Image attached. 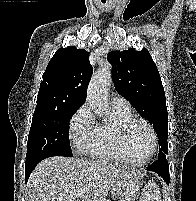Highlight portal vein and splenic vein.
<instances>
[{"instance_id": "portal-vein-and-splenic-vein-1", "label": "portal vein and splenic vein", "mask_w": 196, "mask_h": 201, "mask_svg": "<svg viewBox=\"0 0 196 201\" xmlns=\"http://www.w3.org/2000/svg\"><path fill=\"white\" fill-rule=\"evenodd\" d=\"M83 194V192L82 191H79V196H81Z\"/></svg>"}]
</instances>
